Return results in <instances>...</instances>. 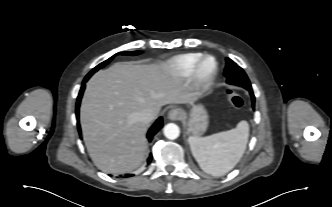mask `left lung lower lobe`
<instances>
[{
	"mask_svg": "<svg viewBox=\"0 0 332 207\" xmlns=\"http://www.w3.org/2000/svg\"><path fill=\"white\" fill-rule=\"evenodd\" d=\"M247 90L249 91V93L252 97V106L254 107V105H255V96L253 94V90H252V88H248Z\"/></svg>",
	"mask_w": 332,
	"mask_h": 207,
	"instance_id": "0a47b994",
	"label": "left lung lower lobe"
}]
</instances>
